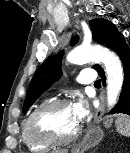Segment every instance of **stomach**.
<instances>
[{
    "label": "stomach",
    "mask_w": 130,
    "mask_h": 153,
    "mask_svg": "<svg viewBox=\"0 0 130 153\" xmlns=\"http://www.w3.org/2000/svg\"><path fill=\"white\" fill-rule=\"evenodd\" d=\"M111 122L106 121L105 125L110 126ZM103 138V131L99 127H92L86 134L83 146L84 149H88L97 145Z\"/></svg>",
    "instance_id": "stomach-1"
}]
</instances>
